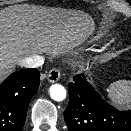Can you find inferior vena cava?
Returning <instances> with one entry per match:
<instances>
[{
    "instance_id": "1",
    "label": "inferior vena cava",
    "mask_w": 131,
    "mask_h": 131,
    "mask_svg": "<svg viewBox=\"0 0 131 131\" xmlns=\"http://www.w3.org/2000/svg\"><path fill=\"white\" fill-rule=\"evenodd\" d=\"M44 60L45 58L42 55L34 54L20 60L19 64L27 68H37L44 64Z\"/></svg>"
}]
</instances>
